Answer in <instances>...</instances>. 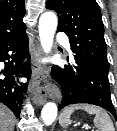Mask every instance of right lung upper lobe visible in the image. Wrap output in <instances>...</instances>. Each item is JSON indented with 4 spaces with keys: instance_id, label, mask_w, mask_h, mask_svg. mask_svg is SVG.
<instances>
[{
    "instance_id": "right-lung-upper-lobe-1",
    "label": "right lung upper lobe",
    "mask_w": 117,
    "mask_h": 131,
    "mask_svg": "<svg viewBox=\"0 0 117 131\" xmlns=\"http://www.w3.org/2000/svg\"><path fill=\"white\" fill-rule=\"evenodd\" d=\"M25 12L24 0H0V43L25 32Z\"/></svg>"
}]
</instances>
